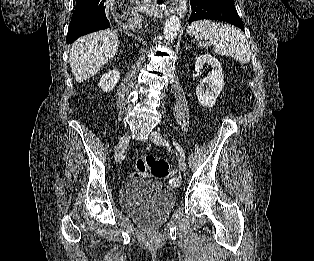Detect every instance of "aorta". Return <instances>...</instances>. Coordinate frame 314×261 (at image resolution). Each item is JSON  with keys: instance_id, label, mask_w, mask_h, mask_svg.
I'll list each match as a JSON object with an SVG mask.
<instances>
[{"instance_id": "1", "label": "aorta", "mask_w": 314, "mask_h": 261, "mask_svg": "<svg viewBox=\"0 0 314 261\" xmlns=\"http://www.w3.org/2000/svg\"><path fill=\"white\" fill-rule=\"evenodd\" d=\"M181 22L179 17L171 16L164 25V37L167 41H173L180 30Z\"/></svg>"}]
</instances>
